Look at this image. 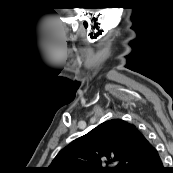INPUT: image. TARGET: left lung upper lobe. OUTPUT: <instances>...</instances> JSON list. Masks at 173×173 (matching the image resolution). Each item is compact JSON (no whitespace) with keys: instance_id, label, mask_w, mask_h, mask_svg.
I'll return each instance as SVG.
<instances>
[{"instance_id":"5c2ea615","label":"left lung upper lobe","mask_w":173,"mask_h":173,"mask_svg":"<svg viewBox=\"0 0 173 173\" xmlns=\"http://www.w3.org/2000/svg\"><path fill=\"white\" fill-rule=\"evenodd\" d=\"M152 144L121 119L98 125L72 141L54 158L53 173H131ZM111 166L104 167V164Z\"/></svg>"}]
</instances>
